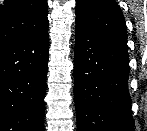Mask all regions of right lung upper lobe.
<instances>
[{
	"label": "right lung upper lobe",
	"instance_id": "1",
	"mask_svg": "<svg viewBox=\"0 0 147 131\" xmlns=\"http://www.w3.org/2000/svg\"><path fill=\"white\" fill-rule=\"evenodd\" d=\"M46 0H5L0 6V45L48 28Z\"/></svg>",
	"mask_w": 147,
	"mask_h": 131
}]
</instances>
